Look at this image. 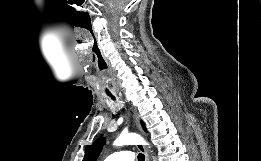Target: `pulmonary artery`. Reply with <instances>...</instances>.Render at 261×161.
Segmentation results:
<instances>
[{"instance_id": "1", "label": "pulmonary artery", "mask_w": 261, "mask_h": 161, "mask_svg": "<svg viewBox=\"0 0 261 161\" xmlns=\"http://www.w3.org/2000/svg\"><path fill=\"white\" fill-rule=\"evenodd\" d=\"M104 161H134V154L128 150H118L110 153Z\"/></svg>"}]
</instances>
